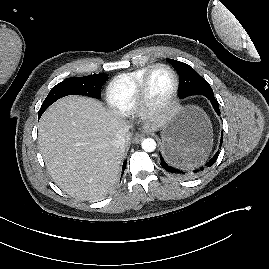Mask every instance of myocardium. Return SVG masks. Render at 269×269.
Segmentation results:
<instances>
[{"instance_id": "1", "label": "myocardium", "mask_w": 269, "mask_h": 269, "mask_svg": "<svg viewBox=\"0 0 269 269\" xmlns=\"http://www.w3.org/2000/svg\"><path fill=\"white\" fill-rule=\"evenodd\" d=\"M157 68L169 70L173 78V85L170 93L164 101L158 104L151 103L147 96V86L152 72ZM179 77L177 72L168 64L156 63L151 65L142 76L136 90V109L144 118H153L165 114L173 105L179 90Z\"/></svg>"}]
</instances>
